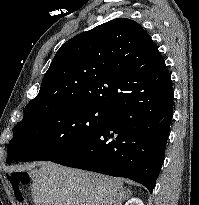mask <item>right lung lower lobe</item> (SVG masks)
Returning a JSON list of instances; mask_svg holds the SVG:
<instances>
[{
	"mask_svg": "<svg viewBox=\"0 0 199 205\" xmlns=\"http://www.w3.org/2000/svg\"><path fill=\"white\" fill-rule=\"evenodd\" d=\"M157 81L154 88L110 109L108 124L89 140L51 161L126 177L152 193L164 161L174 99L170 74Z\"/></svg>",
	"mask_w": 199,
	"mask_h": 205,
	"instance_id": "obj_1",
	"label": "right lung lower lobe"
}]
</instances>
